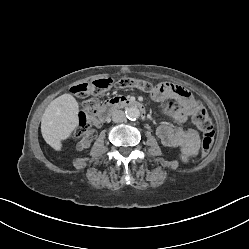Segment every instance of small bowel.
Segmentation results:
<instances>
[{
  "label": "small bowel",
  "mask_w": 249,
  "mask_h": 249,
  "mask_svg": "<svg viewBox=\"0 0 249 249\" xmlns=\"http://www.w3.org/2000/svg\"><path fill=\"white\" fill-rule=\"evenodd\" d=\"M155 97L169 99L167 111L178 124H184L194 117L200 103L185 88L171 82H161L156 85ZM160 141L172 148H178L183 161H188L197 155L200 147V135L194 127L173 128L169 125H160L157 128Z\"/></svg>",
  "instance_id": "small-bowel-1"
}]
</instances>
